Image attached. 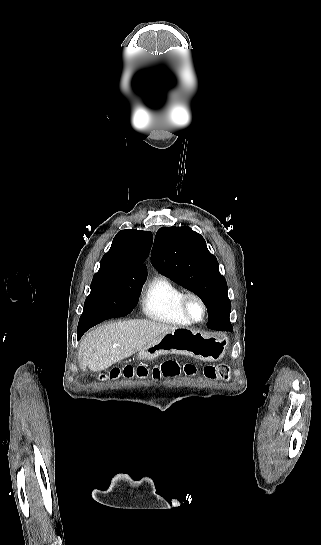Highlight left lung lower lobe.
<instances>
[{"label":"left lung lower lobe","mask_w":321,"mask_h":545,"mask_svg":"<svg viewBox=\"0 0 321 545\" xmlns=\"http://www.w3.org/2000/svg\"><path fill=\"white\" fill-rule=\"evenodd\" d=\"M207 327L213 330L232 331V325L229 320V315L222 311L208 310Z\"/></svg>","instance_id":"left-lung-lower-lobe-1"}]
</instances>
